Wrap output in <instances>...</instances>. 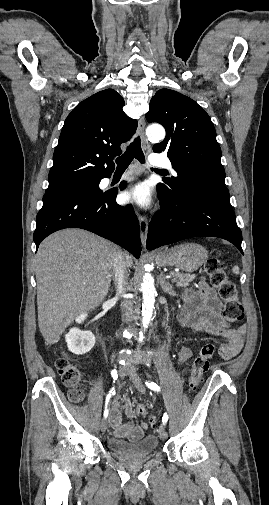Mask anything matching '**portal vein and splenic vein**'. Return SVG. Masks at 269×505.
<instances>
[{"mask_svg": "<svg viewBox=\"0 0 269 505\" xmlns=\"http://www.w3.org/2000/svg\"><path fill=\"white\" fill-rule=\"evenodd\" d=\"M166 278H167V279H169V278H170V276H166Z\"/></svg>", "mask_w": 269, "mask_h": 505, "instance_id": "1", "label": "portal vein and splenic vein"}]
</instances>
